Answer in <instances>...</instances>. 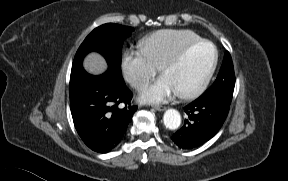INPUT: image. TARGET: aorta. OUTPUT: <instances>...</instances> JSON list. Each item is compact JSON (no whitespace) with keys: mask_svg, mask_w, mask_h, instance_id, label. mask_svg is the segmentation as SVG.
Returning <instances> with one entry per match:
<instances>
[{"mask_svg":"<svg viewBox=\"0 0 288 181\" xmlns=\"http://www.w3.org/2000/svg\"><path fill=\"white\" fill-rule=\"evenodd\" d=\"M163 122L166 128L170 130H175L181 124V115L175 109H168L164 113Z\"/></svg>","mask_w":288,"mask_h":181,"instance_id":"1","label":"aorta"}]
</instances>
